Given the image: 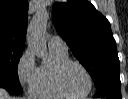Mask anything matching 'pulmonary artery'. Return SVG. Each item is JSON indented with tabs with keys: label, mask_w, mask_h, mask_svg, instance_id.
Listing matches in <instances>:
<instances>
[{
	"label": "pulmonary artery",
	"mask_w": 128,
	"mask_h": 99,
	"mask_svg": "<svg viewBox=\"0 0 128 99\" xmlns=\"http://www.w3.org/2000/svg\"><path fill=\"white\" fill-rule=\"evenodd\" d=\"M48 47L60 52H67L68 50L67 44L59 36H52L48 41Z\"/></svg>",
	"instance_id": "e3ab8cb5"
}]
</instances>
